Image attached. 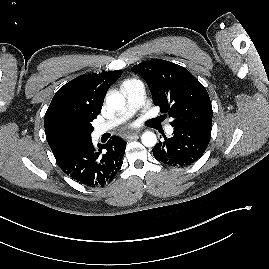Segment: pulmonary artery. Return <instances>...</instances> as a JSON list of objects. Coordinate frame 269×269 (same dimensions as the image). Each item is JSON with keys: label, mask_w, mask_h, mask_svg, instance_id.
Returning <instances> with one entry per match:
<instances>
[{"label": "pulmonary artery", "mask_w": 269, "mask_h": 269, "mask_svg": "<svg viewBox=\"0 0 269 269\" xmlns=\"http://www.w3.org/2000/svg\"><path fill=\"white\" fill-rule=\"evenodd\" d=\"M121 91L127 99V104L113 119L96 127L94 134L100 136L113 127L119 125L132 116L145 102V87L139 80L125 81L121 86ZM167 133L173 132L172 126L166 127Z\"/></svg>", "instance_id": "obj_1"}]
</instances>
